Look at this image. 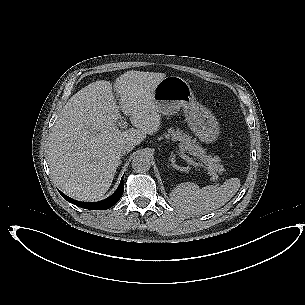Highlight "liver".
<instances>
[{
  "label": "liver",
  "mask_w": 305,
  "mask_h": 305,
  "mask_svg": "<svg viewBox=\"0 0 305 305\" xmlns=\"http://www.w3.org/2000/svg\"><path fill=\"white\" fill-rule=\"evenodd\" d=\"M164 77L156 75L150 89L100 80L68 100L48 140L51 176L67 195L81 201L101 199L121 164L120 144L130 141L138 145L147 134L160 129L161 116L152 90ZM121 112L136 129L117 128Z\"/></svg>",
  "instance_id": "obj_1"
}]
</instances>
